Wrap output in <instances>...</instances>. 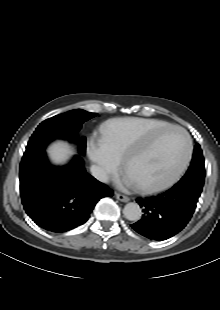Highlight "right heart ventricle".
Instances as JSON below:
<instances>
[{"mask_svg":"<svg viewBox=\"0 0 220 310\" xmlns=\"http://www.w3.org/2000/svg\"><path fill=\"white\" fill-rule=\"evenodd\" d=\"M139 126L141 130L143 131H152L155 129L162 128L163 126H165V124L160 123V122H155V121H145V122L140 123ZM105 147H106L107 153H109L111 156L112 154L110 152H112L114 155L118 157H121L123 155L121 151V147L119 145V140L117 137L111 138L109 141V145L106 144Z\"/></svg>","mask_w":220,"mask_h":310,"instance_id":"right-heart-ventricle-1","label":"right heart ventricle"}]
</instances>
